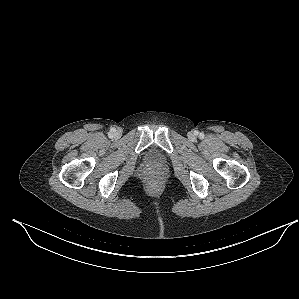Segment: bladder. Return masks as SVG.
<instances>
[{
	"label": "bladder",
	"instance_id": "31cf9c89",
	"mask_svg": "<svg viewBox=\"0 0 299 299\" xmlns=\"http://www.w3.org/2000/svg\"><path fill=\"white\" fill-rule=\"evenodd\" d=\"M149 159H150L151 161L158 162V161H160L161 156H160L159 153H157V152H155V151H151V152L149 153Z\"/></svg>",
	"mask_w": 299,
	"mask_h": 299
}]
</instances>
